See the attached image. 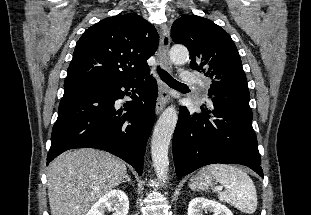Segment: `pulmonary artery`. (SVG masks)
<instances>
[{
	"mask_svg": "<svg viewBox=\"0 0 311 215\" xmlns=\"http://www.w3.org/2000/svg\"><path fill=\"white\" fill-rule=\"evenodd\" d=\"M182 80L186 83H190V84H194L198 86L200 92L203 93L204 95L206 94L208 83L204 81L203 79L199 78L198 76L193 75L189 72H184L182 74Z\"/></svg>",
	"mask_w": 311,
	"mask_h": 215,
	"instance_id": "1",
	"label": "pulmonary artery"
}]
</instances>
